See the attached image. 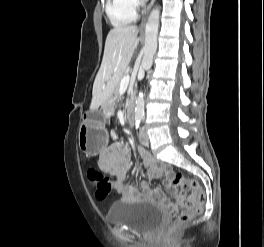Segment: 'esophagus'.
Instances as JSON below:
<instances>
[{"label": "esophagus", "instance_id": "34e87169", "mask_svg": "<svg viewBox=\"0 0 264 247\" xmlns=\"http://www.w3.org/2000/svg\"><path fill=\"white\" fill-rule=\"evenodd\" d=\"M155 1L156 0H151L149 5L147 6V8H146V10L144 12V16H143V19H142L141 27H144V25L146 23V20H147V17H148V14H149L151 8L153 7Z\"/></svg>", "mask_w": 264, "mask_h": 247}]
</instances>
